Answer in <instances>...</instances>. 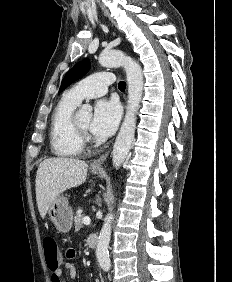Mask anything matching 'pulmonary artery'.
Returning a JSON list of instances; mask_svg holds the SVG:
<instances>
[{"label": "pulmonary artery", "mask_w": 232, "mask_h": 282, "mask_svg": "<svg viewBox=\"0 0 232 282\" xmlns=\"http://www.w3.org/2000/svg\"><path fill=\"white\" fill-rule=\"evenodd\" d=\"M115 81L114 74L108 71L94 73L74 85L67 93L77 101L84 98L102 96L108 86Z\"/></svg>", "instance_id": "1"}]
</instances>
